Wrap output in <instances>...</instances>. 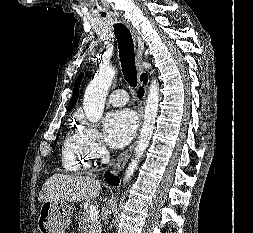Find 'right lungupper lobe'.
I'll return each mask as SVG.
<instances>
[{"mask_svg":"<svg viewBox=\"0 0 253 233\" xmlns=\"http://www.w3.org/2000/svg\"><path fill=\"white\" fill-rule=\"evenodd\" d=\"M83 74H80L79 77L77 78L75 85H74V90H73V96L70 99L69 105H68V111L72 110V108L75 106L77 98H78V89L80 86V81L82 80Z\"/></svg>","mask_w":253,"mask_h":233,"instance_id":"1","label":"right lung upper lobe"}]
</instances>
